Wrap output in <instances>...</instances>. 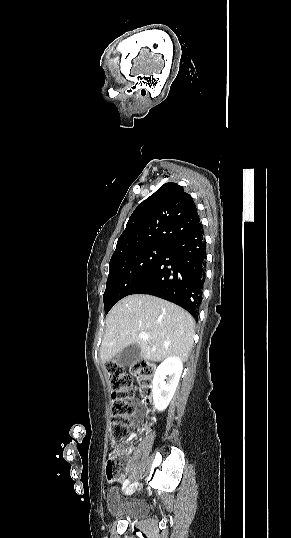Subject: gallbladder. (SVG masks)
<instances>
[{"label":"gallbladder","instance_id":"gallbladder-1","mask_svg":"<svg viewBox=\"0 0 291 538\" xmlns=\"http://www.w3.org/2000/svg\"><path fill=\"white\" fill-rule=\"evenodd\" d=\"M141 351L137 344L124 348L117 356V362L122 367H129L140 360Z\"/></svg>","mask_w":291,"mask_h":538}]
</instances>
